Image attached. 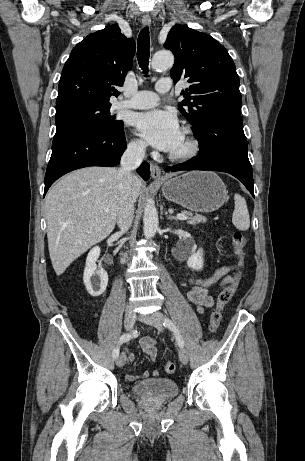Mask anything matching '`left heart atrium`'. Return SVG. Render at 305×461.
<instances>
[{
    "mask_svg": "<svg viewBox=\"0 0 305 461\" xmlns=\"http://www.w3.org/2000/svg\"><path fill=\"white\" fill-rule=\"evenodd\" d=\"M132 124L150 145L166 152L176 148L183 134L176 115L170 111L153 110L137 114Z\"/></svg>",
    "mask_w": 305,
    "mask_h": 461,
    "instance_id": "39dd6f15",
    "label": "left heart atrium"
}]
</instances>
